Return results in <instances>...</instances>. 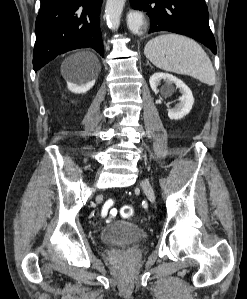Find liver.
Segmentation results:
<instances>
[{"label": "liver", "mask_w": 247, "mask_h": 299, "mask_svg": "<svg viewBox=\"0 0 247 299\" xmlns=\"http://www.w3.org/2000/svg\"><path fill=\"white\" fill-rule=\"evenodd\" d=\"M75 58L87 61L93 67V69H95L94 75H98L101 65L95 54L89 51H82L76 53Z\"/></svg>", "instance_id": "6515ba94"}]
</instances>
